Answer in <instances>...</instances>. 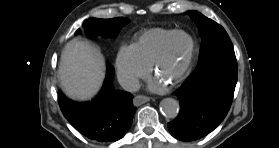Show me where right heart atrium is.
Segmentation results:
<instances>
[{
    "label": "right heart atrium",
    "mask_w": 279,
    "mask_h": 148,
    "mask_svg": "<svg viewBox=\"0 0 279 148\" xmlns=\"http://www.w3.org/2000/svg\"><path fill=\"white\" fill-rule=\"evenodd\" d=\"M118 78L129 88H135L140 79L148 76L150 68L135 54L131 46L122 47L116 57Z\"/></svg>",
    "instance_id": "right-heart-atrium-1"
}]
</instances>
